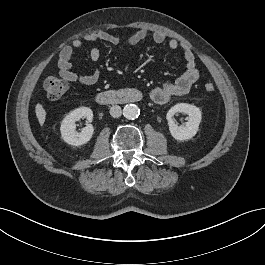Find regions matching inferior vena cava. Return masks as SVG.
<instances>
[{
  "mask_svg": "<svg viewBox=\"0 0 265 265\" xmlns=\"http://www.w3.org/2000/svg\"><path fill=\"white\" fill-rule=\"evenodd\" d=\"M122 114L121 107L118 105H114L110 108V115L114 118L120 117Z\"/></svg>",
  "mask_w": 265,
  "mask_h": 265,
  "instance_id": "1",
  "label": "inferior vena cava"
}]
</instances>
